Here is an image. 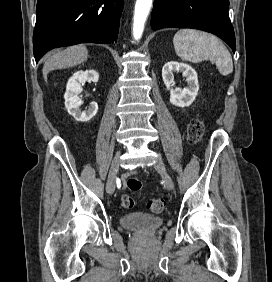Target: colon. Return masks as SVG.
Here are the masks:
<instances>
[{"mask_svg": "<svg viewBox=\"0 0 272 282\" xmlns=\"http://www.w3.org/2000/svg\"><path fill=\"white\" fill-rule=\"evenodd\" d=\"M205 129L204 122L202 120H194L188 127V141L191 144H198L203 136ZM127 186L133 191H137L141 187L139 179L131 177L127 180ZM134 199L129 195H123L121 197V205L125 209L132 208L134 206ZM148 209L153 214H161L165 209V201L161 198H154L148 201Z\"/></svg>", "mask_w": 272, "mask_h": 282, "instance_id": "obj_1", "label": "colon"}]
</instances>
